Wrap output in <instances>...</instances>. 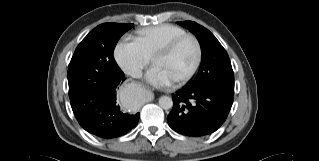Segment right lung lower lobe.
Masks as SVG:
<instances>
[{"mask_svg": "<svg viewBox=\"0 0 319 161\" xmlns=\"http://www.w3.org/2000/svg\"><path fill=\"white\" fill-rule=\"evenodd\" d=\"M124 80L125 75L120 70L70 99L81 127L98 137L109 139L124 135L137 125L140 114L124 113L116 101V90Z\"/></svg>", "mask_w": 319, "mask_h": 161, "instance_id": "98d812e1", "label": "right lung lower lobe"}]
</instances>
